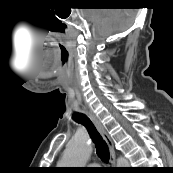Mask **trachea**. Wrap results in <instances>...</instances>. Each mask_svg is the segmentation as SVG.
<instances>
[{
    "mask_svg": "<svg viewBox=\"0 0 173 173\" xmlns=\"http://www.w3.org/2000/svg\"><path fill=\"white\" fill-rule=\"evenodd\" d=\"M73 120L77 123L84 125L93 140L98 157L104 162L108 163L110 158L109 147L106 141L102 138L93 122L82 113H76L73 116Z\"/></svg>",
    "mask_w": 173,
    "mask_h": 173,
    "instance_id": "trachea-1",
    "label": "trachea"
}]
</instances>
